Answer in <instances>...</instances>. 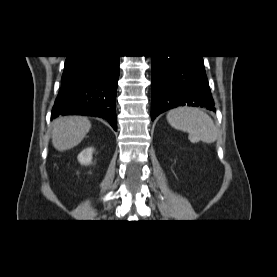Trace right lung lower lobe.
I'll list each match as a JSON object with an SVG mask.
<instances>
[{
    "label": "right lung lower lobe",
    "mask_w": 277,
    "mask_h": 277,
    "mask_svg": "<svg viewBox=\"0 0 277 277\" xmlns=\"http://www.w3.org/2000/svg\"><path fill=\"white\" fill-rule=\"evenodd\" d=\"M119 56H67L51 119L77 114L102 117L117 130Z\"/></svg>",
    "instance_id": "right-lung-lower-lobe-1"
}]
</instances>
